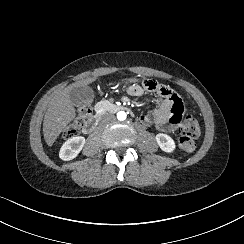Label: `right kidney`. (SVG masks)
Returning a JSON list of instances; mask_svg holds the SVG:
<instances>
[{
  "instance_id": "ca27d5eb",
  "label": "right kidney",
  "mask_w": 244,
  "mask_h": 244,
  "mask_svg": "<svg viewBox=\"0 0 244 244\" xmlns=\"http://www.w3.org/2000/svg\"><path fill=\"white\" fill-rule=\"evenodd\" d=\"M85 144L84 136H75L69 138L63 143L59 150V158L63 161H71L82 151Z\"/></svg>"
}]
</instances>
